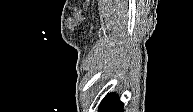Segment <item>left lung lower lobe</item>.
<instances>
[{"mask_svg": "<svg viewBox=\"0 0 193 112\" xmlns=\"http://www.w3.org/2000/svg\"><path fill=\"white\" fill-rule=\"evenodd\" d=\"M99 112H123V103L116 94L110 93L100 104Z\"/></svg>", "mask_w": 193, "mask_h": 112, "instance_id": "0a47b994", "label": "left lung lower lobe"}]
</instances>
